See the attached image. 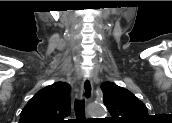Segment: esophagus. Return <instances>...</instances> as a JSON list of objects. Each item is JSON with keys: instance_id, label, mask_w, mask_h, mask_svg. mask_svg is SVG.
I'll list each match as a JSON object with an SVG mask.
<instances>
[{"instance_id": "obj_1", "label": "esophagus", "mask_w": 172, "mask_h": 123, "mask_svg": "<svg viewBox=\"0 0 172 123\" xmlns=\"http://www.w3.org/2000/svg\"><path fill=\"white\" fill-rule=\"evenodd\" d=\"M93 96V84L92 81L89 77H85L83 82H82V86H81V90H80V97L82 99H85V101L90 102Z\"/></svg>"}]
</instances>
